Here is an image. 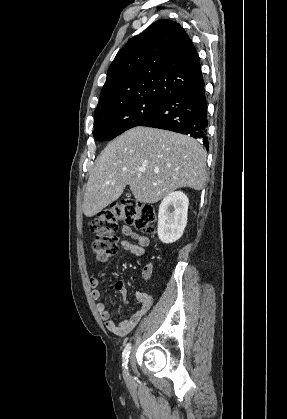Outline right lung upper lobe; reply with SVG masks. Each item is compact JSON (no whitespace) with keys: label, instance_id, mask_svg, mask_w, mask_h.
<instances>
[{"label":"right lung upper lobe","instance_id":"1","mask_svg":"<svg viewBox=\"0 0 287 419\" xmlns=\"http://www.w3.org/2000/svg\"><path fill=\"white\" fill-rule=\"evenodd\" d=\"M203 82L200 58L191 39L177 22L161 19L117 53L95 114L134 100H165Z\"/></svg>","mask_w":287,"mask_h":419}]
</instances>
